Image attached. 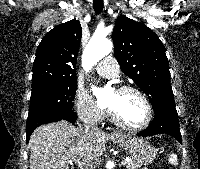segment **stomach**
Masks as SVG:
<instances>
[{"label":"stomach","instance_id":"1","mask_svg":"<svg viewBox=\"0 0 200 169\" xmlns=\"http://www.w3.org/2000/svg\"><path fill=\"white\" fill-rule=\"evenodd\" d=\"M115 141L125 148L131 160L138 166L148 165L156 157V149L143 138L122 136L115 138Z\"/></svg>","mask_w":200,"mask_h":169}]
</instances>
